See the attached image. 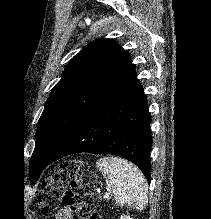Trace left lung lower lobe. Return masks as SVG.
<instances>
[{"label":"left lung lower lobe","mask_w":211,"mask_h":219,"mask_svg":"<svg viewBox=\"0 0 211 219\" xmlns=\"http://www.w3.org/2000/svg\"><path fill=\"white\" fill-rule=\"evenodd\" d=\"M150 123L147 98L132 65L85 113L56 155L38 149L32 159L44 169L71 154H112L136 164L150 183Z\"/></svg>","instance_id":"obj_1"}]
</instances>
